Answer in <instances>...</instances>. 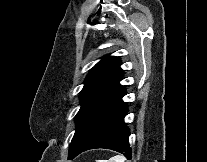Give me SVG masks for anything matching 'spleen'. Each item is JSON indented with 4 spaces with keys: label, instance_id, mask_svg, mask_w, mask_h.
I'll return each instance as SVG.
<instances>
[{
    "label": "spleen",
    "instance_id": "obj_1",
    "mask_svg": "<svg viewBox=\"0 0 207 162\" xmlns=\"http://www.w3.org/2000/svg\"><path fill=\"white\" fill-rule=\"evenodd\" d=\"M126 158L122 155H116L109 160H96V162H125Z\"/></svg>",
    "mask_w": 207,
    "mask_h": 162
}]
</instances>
